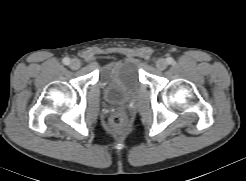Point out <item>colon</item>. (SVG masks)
I'll use <instances>...</instances> for the list:
<instances>
[{"mask_svg":"<svg viewBox=\"0 0 246 181\" xmlns=\"http://www.w3.org/2000/svg\"><path fill=\"white\" fill-rule=\"evenodd\" d=\"M110 126L117 133H121L126 130L128 126L127 118L122 113L114 114L110 119Z\"/></svg>","mask_w":246,"mask_h":181,"instance_id":"1","label":"colon"}]
</instances>
